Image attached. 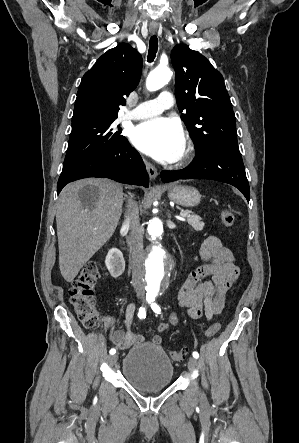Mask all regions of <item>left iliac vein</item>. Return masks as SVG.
Returning a JSON list of instances; mask_svg holds the SVG:
<instances>
[{"mask_svg":"<svg viewBox=\"0 0 299 443\" xmlns=\"http://www.w3.org/2000/svg\"><path fill=\"white\" fill-rule=\"evenodd\" d=\"M198 365L197 360L194 357H190L188 360V367L191 371H194Z\"/></svg>","mask_w":299,"mask_h":443,"instance_id":"left-iliac-vein-1","label":"left iliac vein"}]
</instances>
